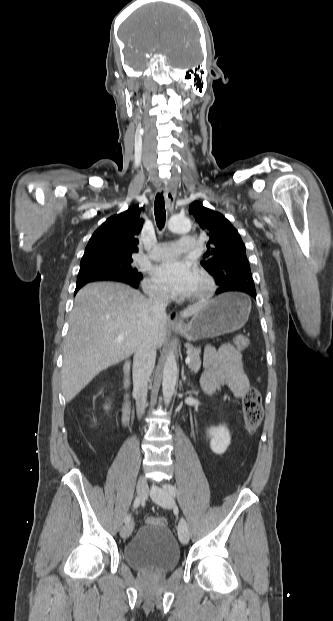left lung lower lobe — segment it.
Listing matches in <instances>:
<instances>
[{"label": "left lung lower lobe", "mask_w": 333, "mask_h": 621, "mask_svg": "<svg viewBox=\"0 0 333 621\" xmlns=\"http://www.w3.org/2000/svg\"><path fill=\"white\" fill-rule=\"evenodd\" d=\"M225 292H243L256 299V290L254 284L249 283H232L219 288L216 294Z\"/></svg>", "instance_id": "0a47b994"}]
</instances>
